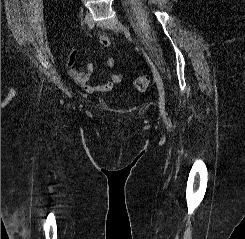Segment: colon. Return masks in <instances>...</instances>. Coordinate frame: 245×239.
Segmentation results:
<instances>
[{
	"mask_svg": "<svg viewBox=\"0 0 245 239\" xmlns=\"http://www.w3.org/2000/svg\"><path fill=\"white\" fill-rule=\"evenodd\" d=\"M134 85L138 91H145L150 85V77L147 75H140L135 79Z\"/></svg>",
	"mask_w": 245,
	"mask_h": 239,
	"instance_id": "colon-1",
	"label": "colon"
}]
</instances>
